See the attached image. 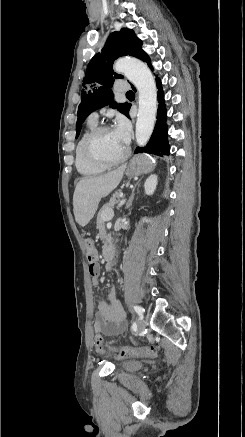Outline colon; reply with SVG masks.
I'll use <instances>...</instances> for the list:
<instances>
[{
  "label": "colon",
  "mask_w": 245,
  "mask_h": 437,
  "mask_svg": "<svg viewBox=\"0 0 245 437\" xmlns=\"http://www.w3.org/2000/svg\"><path fill=\"white\" fill-rule=\"evenodd\" d=\"M86 250H87V259L90 263L89 271H93L96 259H97V252L94 247V244L91 240L86 241ZM103 336L101 334H96L94 337V343L99 352H103ZM115 354L119 357H138V356H147V357H157L158 356V349L155 346H124L119 349L113 348L112 349Z\"/></svg>",
  "instance_id": "5ec220e1"
}]
</instances>
